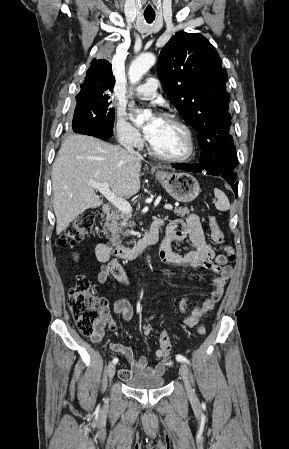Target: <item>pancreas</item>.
Instances as JSON below:
<instances>
[{"label":"pancreas","instance_id":"cf45deb5","mask_svg":"<svg viewBox=\"0 0 289 449\" xmlns=\"http://www.w3.org/2000/svg\"><path fill=\"white\" fill-rule=\"evenodd\" d=\"M174 213L178 216L185 217L189 214V210L186 207H178L174 209ZM130 218L131 214L123 213L120 210L112 211L111 214L106 216L104 233L107 234V237H110V241L113 244H121L122 236L128 235L125 232V228L134 226V222Z\"/></svg>","mask_w":289,"mask_h":449}]
</instances>
